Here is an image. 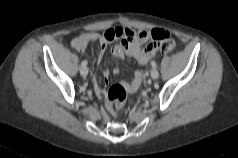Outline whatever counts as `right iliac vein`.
<instances>
[{
  "instance_id": "obj_1",
  "label": "right iliac vein",
  "mask_w": 238,
  "mask_h": 158,
  "mask_svg": "<svg viewBox=\"0 0 238 158\" xmlns=\"http://www.w3.org/2000/svg\"><path fill=\"white\" fill-rule=\"evenodd\" d=\"M80 73L82 76H87L88 75V68L85 66V67H82L80 69Z\"/></svg>"
}]
</instances>
